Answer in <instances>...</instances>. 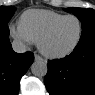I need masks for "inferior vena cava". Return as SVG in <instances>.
I'll list each match as a JSON object with an SVG mask.
<instances>
[{"mask_svg":"<svg viewBox=\"0 0 95 95\" xmlns=\"http://www.w3.org/2000/svg\"><path fill=\"white\" fill-rule=\"evenodd\" d=\"M12 48L16 53H24L27 51V47L25 44L20 40H14L12 42Z\"/></svg>","mask_w":95,"mask_h":95,"instance_id":"1","label":"inferior vena cava"}]
</instances>
